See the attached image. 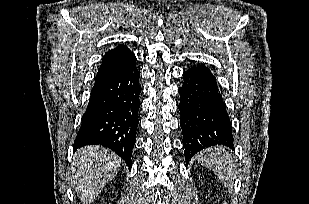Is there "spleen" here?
I'll use <instances>...</instances> for the list:
<instances>
[{
    "instance_id": "obj_1",
    "label": "spleen",
    "mask_w": 309,
    "mask_h": 204,
    "mask_svg": "<svg viewBox=\"0 0 309 204\" xmlns=\"http://www.w3.org/2000/svg\"><path fill=\"white\" fill-rule=\"evenodd\" d=\"M198 163L211 169L217 177L227 186L236 178L235 164L226 151L221 147H210L196 156Z\"/></svg>"
}]
</instances>
